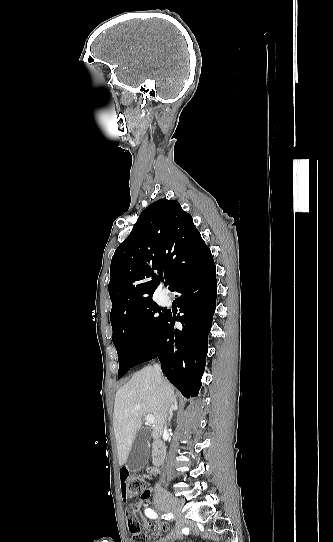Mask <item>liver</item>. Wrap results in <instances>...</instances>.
Listing matches in <instances>:
<instances>
[{"mask_svg": "<svg viewBox=\"0 0 333 542\" xmlns=\"http://www.w3.org/2000/svg\"><path fill=\"white\" fill-rule=\"evenodd\" d=\"M176 396L170 382L153 366L136 372L130 382L124 384L115 396L113 428L116 438L119 466H124L133 442L142 426L143 416L155 418L153 440L161 438L166 424L167 412L171 410Z\"/></svg>", "mask_w": 333, "mask_h": 542, "instance_id": "obj_1", "label": "liver"}]
</instances>
